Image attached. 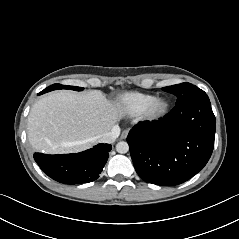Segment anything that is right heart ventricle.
<instances>
[{"label": "right heart ventricle", "instance_id": "e07e8e85", "mask_svg": "<svg viewBox=\"0 0 239 239\" xmlns=\"http://www.w3.org/2000/svg\"><path fill=\"white\" fill-rule=\"evenodd\" d=\"M153 98V95L147 93L128 92L120 96L119 105L126 113L138 115Z\"/></svg>", "mask_w": 239, "mask_h": 239}]
</instances>
